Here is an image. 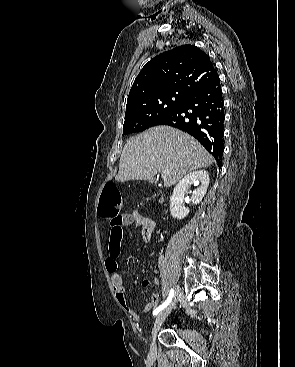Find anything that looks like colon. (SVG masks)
I'll return each instance as SVG.
<instances>
[{
	"instance_id": "1",
	"label": "colon",
	"mask_w": 295,
	"mask_h": 367,
	"mask_svg": "<svg viewBox=\"0 0 295 367\" xmlns=\"http://www.w3.org/2000/svg\"><path fill=\"white\" fill-rule=\"evenodd\" d=\"M101 215L110 221H118L125 207L124 199L113 183H107L101 194Z\"/></svg>"
}]
</instances>
